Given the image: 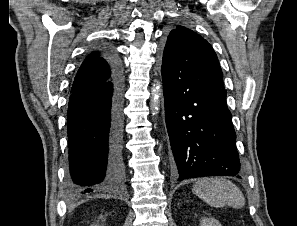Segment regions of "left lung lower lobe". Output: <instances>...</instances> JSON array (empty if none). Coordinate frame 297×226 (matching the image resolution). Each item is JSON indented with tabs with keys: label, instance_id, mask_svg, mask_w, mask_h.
I'll use <instances>...</instances> for the list:
<instances>
[{
	"label": "left lung lower lobe",
	"instance_id": "left-lung-lower-lobe-1",
	"mask_svg": "<svg viewBox=\"0 0 297 226\" xmlns=\"http://www.w3.org/2000/svg\"><path fill=\"white\" fill-rule=\"evenodd\" d=\"M162 78L165 120L178 181L222 175L241 178L226 90L190 88L167 73H162Z\"/></svg>",
	"mask_w": 297,
	"mask_h": 226
}]
</instances>
